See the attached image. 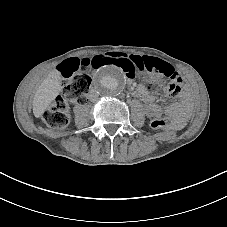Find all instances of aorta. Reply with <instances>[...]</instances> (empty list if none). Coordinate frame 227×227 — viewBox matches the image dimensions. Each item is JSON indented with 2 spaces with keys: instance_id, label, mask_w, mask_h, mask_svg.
I'll use <instances>...</instances> for the list:
<instances>
[{
  "instance_id": "1",
  "label": "aorta",
  "mask_w": 227,
  "mask_h": 227,
  "mask_svg": "<svg viewBox=\"0 0 227 227\" xmlns=\"http://www.w3.org/2000/svg\"><path fill=\"white\" fill-rule=\"evenodd\" d=\"M124 87L125 78L118 67L104 66L95 73L93 88L103 97L117 96Z\"/></svg>"
}]
</instances>
